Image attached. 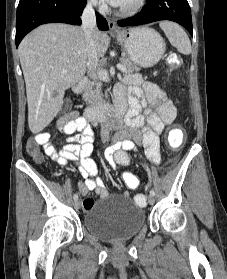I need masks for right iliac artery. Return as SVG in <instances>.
I'll use <instances>...</instances> for the list:
<instances>
[{"instance_id": "1", "label": "right iliac artery", "mask_w": 227, "mask_h": 279, "mask_svg": "<svg viewBox=\"0 0 227 279\" xmlns=\"http://www.w3.org/2000/svg\"><path fill=\"white\" fill-rule=\"evenodd\" d=\"M73 199H74V200H77V199H78V195L75 194V195L73 196Z\"/></svg>"}]
</instances>
